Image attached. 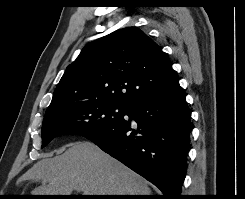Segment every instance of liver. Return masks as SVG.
Listing matches in <instances>:
<instances>
[{
  "instance_id": "obj_1",
  "label": "liver",
  "mask_w": 245,
  "mask_h": 199,
  "mask_svg": "<svg viewBox=\"0 0 245 199\" xmlns=\"http://www.w3.org/2000/svg\"><path fill=\"white\" fill-rule=\"evenodd\" d=\"M41 180L32 195H150L147 182L89 141L75 142L61 155L43 158L19 180Z\"/></svg>"
}]
</instances>
